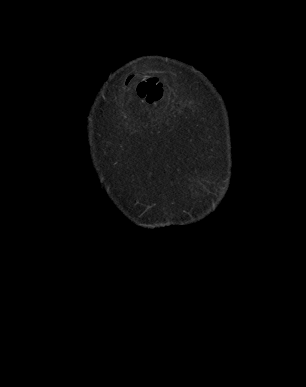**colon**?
<instances>
[{"mask_svg": "<svg viewBox=\"0 0 306 387\" xmlns=\"http://www.w3.org/2000/svg\"><path fill=\"white\" fill-rule=\"evenodd\" d=\"M163 95L162 83L156 78H148L140 84V97L147 103L158 102Z\"/></svg>", "mask_w": 306, "mask_h": 387, "instance_id": "1", "label": "colon"}]
</instances>
